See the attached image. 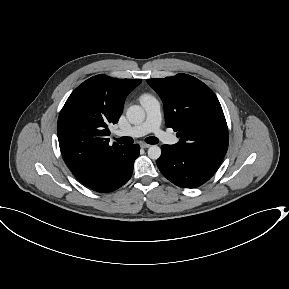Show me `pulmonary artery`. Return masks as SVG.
<instances>
[{
	"instance_id": "e3ab8cb5",
	"label": "pulmonary artery",
	"mask_w": 289,
	"mask_h": 289,
	"mask_svg": "<svg viewBox=\"0 0 289 289\" xmlns=\"http://www.w3.org/2000/svg\"><path fill=\"white\" fill-rule=\"evenodd\" d=\"M140 102L146 113L144 122L126 130H118L115 134L119 137H141L148 133H153L163 143H177L178 139L174 135L161 129L162 114L158 100L152 96H148L140 99Z\"/></svg>"
}]
</instances>
